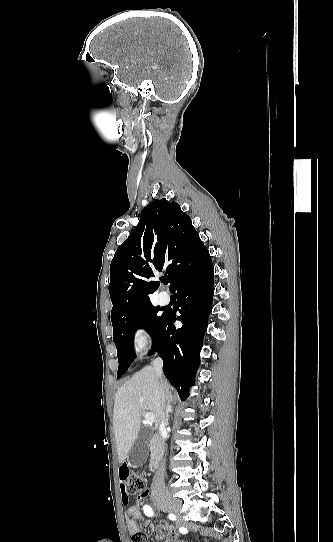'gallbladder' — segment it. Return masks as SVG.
Returning a JSON list of instances; mask_svg holds the SVG:
<instances>
[{
    "label": "gallbladder",
    "instance_id": "bac80fb5",
    "mask_svg": "<svg viewBox=\"0 0 333 542\" xmlns=\"http://www.w3.org/2000/svg\"><path fill=\"white\" fill-rule=\"evenodd\" d=\"M152 436V428H141L136 442H134L128 456V464L130 468H139L145 464L148 454V442Z\"/></svg>",
    "mask_w": 333,
    "mask_h": 542
}]
</instances>
